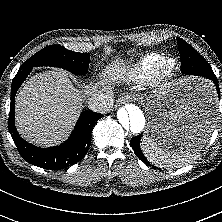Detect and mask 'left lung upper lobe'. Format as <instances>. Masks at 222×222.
<instances>
[{"mask_svg":"<svg viewBox=\"0 0 222 222\" xmlns=\"http://www.w3.org/2000/svg\"><path fill=\"white\" fill-rule=\"evenodd\" d=\"M178 44H179V52L181 54V57L187 56V57H194L195 60L200 63L205 70L211 72L212 69L210 65L206 62V60L195 50L193 47H191L186 41L183 39L177 38ZM213 72V71H212Z\"/></svg>","mask_w":222,"mask_h":222,"instance_id":"left-lung-upper-lobe-1","label":"left lung upper lobe"}]
</instances>
